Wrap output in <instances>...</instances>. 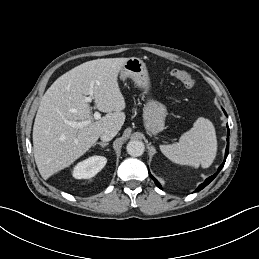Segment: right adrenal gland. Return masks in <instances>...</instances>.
Masks as SVG:
<instances>
[{
  "label": "right adrenal gland",
  "mask_w": 259,
  "mask_h": 259,
  "mask_svg": "<svg viewBox=\"0 0 259 259\" xmlns=\"http://www.w3.org/2000/svg\"><path fill=\"white\" fill-rule=\"evenodd\" d=\"M100 145L101 147H105V146H107L109 143L108 142H97V143H95L94 145Z\"/></svg>",
  "instance_id": "2a0ac1e0"
}]
</instances>
